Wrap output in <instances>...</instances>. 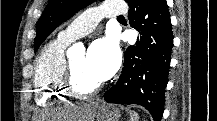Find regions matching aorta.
<instances>
[{
    "label": "aorta",
    "instance_id": "obj_1",
    "mask_svg": "<svg viewBox=\"0 0 217 121\" xmlns=\"http://www.w3.org/2000/svg\"><path fill=\"white\" fill-rule=\"evenodd\" d=\"M78 48V45H74L71 49H70V52L77 49Z\"/></svg>",
    "mask_w": 217,
    "mask_h": 121
}]
</instances>
